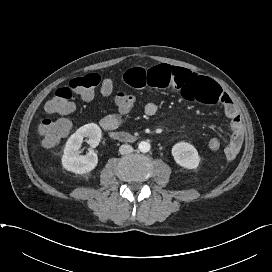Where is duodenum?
<instances>
[{"instance_id":"410a0bca","label":"duodenum","mask_w":272,"mask_h":272,"mask_svg":"<svg viewBox=\"0 0 272 272\" xmlns=\"http://www.w3.org/2000/svg\"><path fill=\"white\" fill-rule=\"evenodd\" d=\"M110 137L114 140L121 142H133L135 137L127 132L113 131L110 133Z\"/></svg>"}]
</instances>
